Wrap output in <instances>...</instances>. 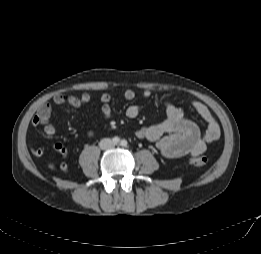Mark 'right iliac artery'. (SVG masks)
I'll use <instances>...</instances> for the list:
<instances>
[{
  "label": "right iliac artery",
  "instance_id": "right-iliac-artery-1",
  "mask_svg": "<svg viewBox=\"0 0 261 254\" xmlns=\"http://www.w3.org/2000/svg\"><path fill=\"white\" fill-rule=\"evenodd\" d=\"M119 141H120V139H119L118 137H114V138H113V143H114V144H118Z\"/></svg>",
  "mask_w": 261,
  "mask_h": 254
}]
</instances>
